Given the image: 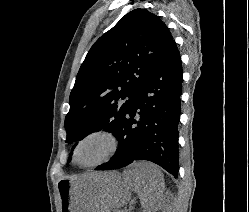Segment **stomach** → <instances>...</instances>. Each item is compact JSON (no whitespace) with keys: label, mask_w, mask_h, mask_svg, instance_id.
<instances>
[{"label":"stomach","mask_w":249,"mask_h":212,"mask_svg":"<svg viewBox=\"0 0 249 212\" xmlns=\"http://www.w3.org/2000/svg\"><path fill=\"white\" fill-rule=\"evenodd\" d=\"M133 184H123L118 170H88V175H72V180H59L57 190L61 212H109L126 204Z\"/></svg>","instance_id":"stomach-1"}]
</instances>
